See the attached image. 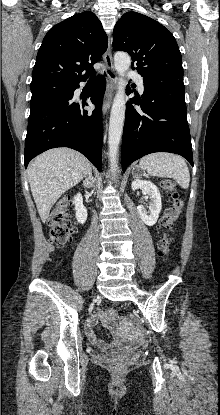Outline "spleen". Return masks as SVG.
I'll return each mask as SVG.
<instances>
[{"label":"spleen","mask_w":220,"mask_h":415,"mask_svg":"<svg viewBox=\"0 0 220 415\" xmlns=\"http://www.w3.org/2000/svg\"><path fill=\"white\" fill-rule=\"evenodd\" d=\"M139 166L148 174L173 178L182 188L187 189L190 173L184 159L171 153H153L143 157Z\"/></svg>","instance_id":"obj_1"}]
</instances>
